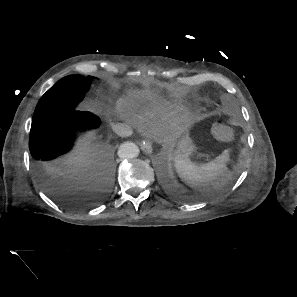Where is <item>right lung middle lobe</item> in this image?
<instances>
[{
    "label": "right lung middle lobe",
    "instance_id": "dd1d6c3e",
    "mask_svg": "<svg viewBox=\"0 0 297 297\" xmlns=\"http://www.w3.org/2000/svg\"><path fill=\"white\" fill-rule=\"evenodd\" d=\"M94 77L84 78L80 75H70L58 81L40 99L33 115V122L42 120L56 108L74 101H80L89 88V82Z\"/></svg>",
    "mask_w": 297,
    "mask_h": 297
}]
</instances>
